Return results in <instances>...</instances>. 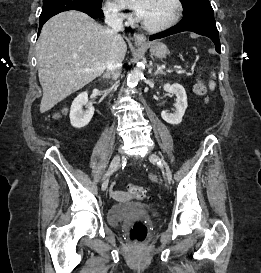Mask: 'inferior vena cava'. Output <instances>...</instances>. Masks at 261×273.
Returning a JSON list of instances; mask_svg holds the SVG:
<instances>
[{
	"label": "inferior vena cava",
	"instance_id": "obj_1",
	"mask_svg": "<svg viewBox=\"0 0 261 273\" xmlns=\"http://www.w3.org/2000/svg\"><path fill=\"white\" fill-rule=\"evenodd\" d=\"M105 23L112 29L114 33V39L111 45L110 55L107 61V72L110 74L113 80H117L120 76L122 69L123 57L120 55L116 39L119 36V32L124 31L123 18L119 13L111 9L105 11Z\"/></svg>",
	"mask_w": 261,
	"mask_h": 273
}]
</instances>
